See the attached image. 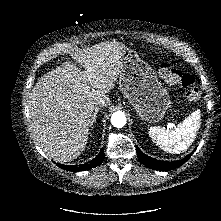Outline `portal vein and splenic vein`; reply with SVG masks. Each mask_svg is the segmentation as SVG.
<instances>
[{
	"label": "portal vein and splenic vein",
	"instance_id": "portal-vein-and-splenic-vein-1",
	"mask_svg": "<svg viewBox=\"0 0 221 221\" xmlns=\"http://www.w3.org/2000/svg\"><path fill=\"white\" fill-rule=\"evenodd\" d=\"M171 127H173V126L169 124V125H168V128H171Z\"/></svg>",
	"mask_w": 221,
	"mask_h": 221
}]
</instances>
